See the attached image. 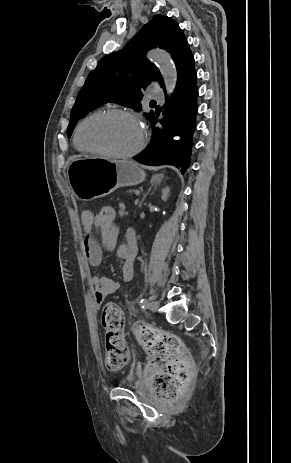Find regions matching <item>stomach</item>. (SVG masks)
I'll use <instances>...</instances> for the list:
<instances>
[{"instance_id":"0dacf381","label":"stomach","mask_w":291,"mask_h":463,"mask_svg":"<svg viewBox=\"0 0 291 463\" xmlns=\"http://www.w3.org/2000/svg\"><path fill=\"white\" fill-rule=\"evenodd\" d=\"M146 173L136 163L101 156H74L67 166V179L75 196L84 201L112 193L119 187L137 185Z\"/></svg>"}]
</instances>
